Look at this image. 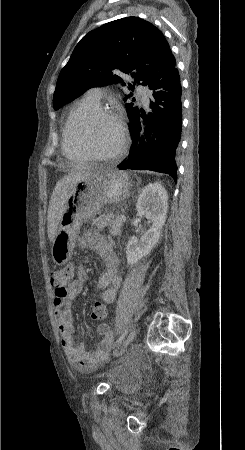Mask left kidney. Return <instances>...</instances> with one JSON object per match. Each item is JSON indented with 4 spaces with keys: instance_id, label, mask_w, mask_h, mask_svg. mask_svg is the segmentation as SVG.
<instances>
[{
    "instance_id": "5707ae66",
    "label": "left kidney",
    "mask_w": 245,
    "mask_h": 450,
    "mask_svg": "<svg viewBox=\"0 0 245 450\" xmlns=\"http://www.w3.org/2000/svg\"><path fill=\"white\" fill-rule=\"evenodd\" d=\"M168 195L160 183L147 185L138 197L136 210L152 222V227L140 240L130 239L126 245V257L129 265L136 264L150 254L159 242L161 230L165 224L168 210Z\"/></svg>"
}]
</instances>
